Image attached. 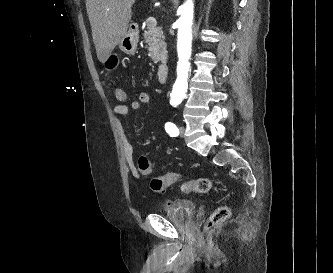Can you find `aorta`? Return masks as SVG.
<instances>
[{"instance_id": "1", "label": "aorta", "mask_w": 333, "mask_h": 273, "mask_svg": "<svg viewBox=\"0 0 333 273\" xmlns=\"http://www.w3.org/2000/svg\"><path fill=\"white\" fill-rule=\"evenodd\" d=\"M180 18L177 21V79L173 86L171 93V101L173 103H180L185 97L187 91V78L190 70L189 59L191 56L192 47V24L194 18V2L193 0H186L183 5L179 7Z\"/></svg>"}]
</instances>
